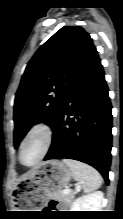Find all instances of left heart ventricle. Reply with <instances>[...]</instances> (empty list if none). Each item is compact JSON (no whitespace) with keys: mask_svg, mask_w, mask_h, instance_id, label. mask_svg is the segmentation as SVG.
Here are the masks:
<instances>
[{"mask_svg":"<svg viewBox=\"0 0 123 219\" xmlns=\"http://www.w3.org/2000/svg\"><path fill=\"white\" fill-rule=\"evenodd\" d=\"M42 146L43 142L40 135H35L30 138L23 147V161L28 164L35 162L42 152Z\"/></svg>","mask_w":123,"mask_h":219,"instance_id":"obj_1","label":"left heart ventricle"}]
</instances>
